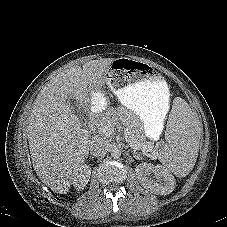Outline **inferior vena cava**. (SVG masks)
<instances>
[{
    "label": "inferior vena cava",
    "instance_id": "1",
    "mask_svg": "<svg viewBox=\"0 0 227 227\" xmlns=\"http://www.w3.org/2000/svg\"><path fill=\"white\" fill-rule=\"evenodd\" d=\"M109 150V143L102 138H96L91 141L89 151L91 155L98 157L105 155Z\"/></svg>",
    "mask_w": 227,
    "mask_h": 227
}]
</instances>
